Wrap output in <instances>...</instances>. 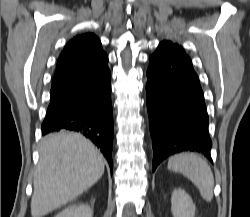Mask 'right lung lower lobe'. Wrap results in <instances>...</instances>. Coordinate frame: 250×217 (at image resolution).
<instances>
[{
  "label": "right lung lower lobe",
  "instance_id": "98d812e1",
  "mask_svg": "<svg viewBox=\"0 0 250 217\" xmlns=\"http://www.w3.org/2000/svg\"><path fill=\"white\" fill-rule=\"evenodd\" d=\"M60 130L76 131L91 139L113 169L114 127L107 56L84 73L52 85L42 134Z\"/></svg>",
  "mask_w": 250,
  "mask_h": 217
}]
</instances>
